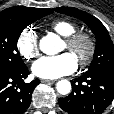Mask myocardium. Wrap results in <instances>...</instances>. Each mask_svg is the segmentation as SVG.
Returning <instances> with one entry per match:
<instances>
[{"instance_id":"1","label":"myocardium","mask_w":114,"mask_h":114,"mask_svg":"<svg viewBox=\"0 0 114 114\" xmlns=\"http://www.w3.org/2000/svg\"><path fill=\"white\" fill-rule=\"evenodd\" d=\"M67 49L77 55V61L80 65H87L95 55L96 42L94 38L85 32H74L65 37ZM84 49L81 51V49Z\"/></svg>"}]
</instances>
